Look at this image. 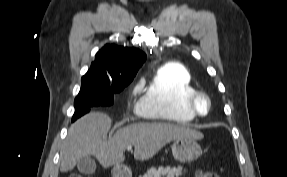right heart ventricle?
Returning a JSON list of instances; mask_svg holds the SVG:
<instances>
[{
  "label": "right heart ventricle",
  "mask_w": 287,
  "mask_h": 177,
  "mask_svg": "<svg viewBox=\"0 0 287 177\" xmlns=\"http://www.w3.org/2000/svg\"><path fill=\"white\" fill-rule=\"evenodd\" d=\"M194 91L192 77L187 68L179 64L163 66L148 83L137 111L152 121L190 123L195 114L188 106V99Z\"/></svg>",
  "instance_id": "e07e8e85"
}]
</instances>
